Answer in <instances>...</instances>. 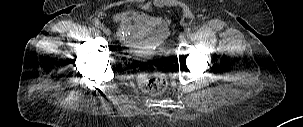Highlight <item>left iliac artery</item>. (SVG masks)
I'll list each match as a JSON object with an SVG mask.
<instances>
[{
    "label": "left iliac artery",
    "mask_w": 303,
    "mask_h": 127,
    "mask_svg": "<svg viewBox=\"0 0 303 127\" xmlns=\"http://www.w3.org/2000/svg\"><path fill=\"white\" fill-rule=\"evenodd\" d=\"M184 35L186 36V38L191 39L193 36V33L189 29H186L184 31Z\"/></svg>",
    "instance_id": "44dca946"
}]
</instances>
